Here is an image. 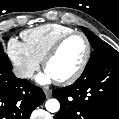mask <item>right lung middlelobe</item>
I'll return each mask as SVG.
<instances>
[{
	"label": "right lung middle lobe",
	"instance_id": "right-lung-middle-lobe-1",
	"mask_svg": "<svg viewBox=\"0 0 119 119\" xmlns=\"http://www.w3.org/2000/svg\"><path fill=\"white\" fill-rule=\"evenodd\" d=\"M11 31H13V29ZM0 69L12 70V65L8 59L7 54L3 50L1 42H0Z\"/></svg>",
	"mask_w": 119,
	"mask_h": 119
}]
</instances>
